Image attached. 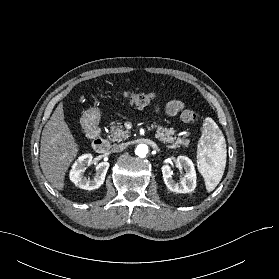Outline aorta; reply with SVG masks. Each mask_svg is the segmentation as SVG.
<instances>
[{
  "mask_svg": "<svg viewBox=\"0 0 279 279\" xmlns=\"http://www.w3.org/2000/svg\"><path fill=\"white\" fill-rule=\"evenodd\" d=\"M148 153V146L146 144H139L135 149V154L144 158Z\"/></svg>",
  "mask_w": 279,
  "mask_h": 279,
  "instance_id": "aorta-1",
  "label": "aorta"
}]
</instances>
